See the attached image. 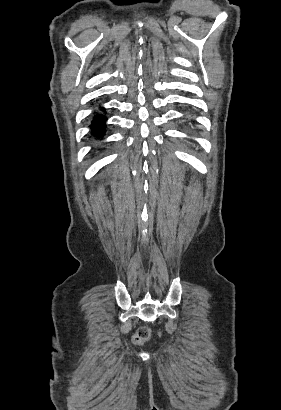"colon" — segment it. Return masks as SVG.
<instances>
[{"instance_id":"obj_1","label":"colon","mask_w":281,"mask_h":410,"mask_svg":"<svg viewBox=\"0 0 281 410\" xmlns=\"http://www.w3.org/2000/svg\"><path fill=\"white\" fill-rule=\"evenodd\" d=\"M151 329L147 326L140 327L133 335L132 341L136 345H141L151 338Z\"/></svg>"}]
</instances>
